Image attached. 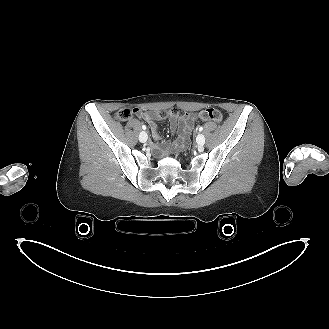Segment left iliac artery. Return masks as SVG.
Listing matches in <instances>:
<instances>
[{
    "label": "left iliac artery",
    "instance_id": "left-iliac-artery-1",
    "mask_svg": "<svg viewBox=\"0 0 329 329\" xmlns=\"http://www.w3.org/2000/svg\"><path fill=\"white\" fill-rule=\"evenodd\" d=\"M198 130L201 132L203 131V127H199Z\"/></svg>",
    "mask_w": 329,
    "mask_h": 329
}]
</instances>
